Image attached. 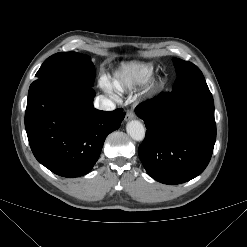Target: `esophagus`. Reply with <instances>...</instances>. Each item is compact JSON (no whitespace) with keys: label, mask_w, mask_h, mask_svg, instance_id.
I'll return each mask as SVG.
<instances>
[{"label":"esophagus","mask_w":247,"mask_h":247,"mask_svg":"<svg viewBox=\"0 0 247 247\" xmlns=\"http://www.w3.org/2000/svg\"><path fill=\"white\" fill-rule=\"evenodd\" d=\"M135 118V113L133 111H128L125 116V121H129Z\"/></svg>","instance_id":"obj_1"}]
</instances>
